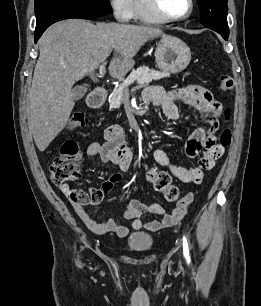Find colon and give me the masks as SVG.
Listing matches in <instances>:
<instances>
[{
    "label": "colon",
    "mask_w": 261,
    "mask_h": 306,
    "mask_svg": "<svg viewBox=\"0 0 261 306\" xmlns=\"http://www.w3.org/2000/svg\"><path fill=\"white\" fill-rule=\"evenodd\" d=\"M220 88L224 91L232 90L234 87V79L230 75H223L219 78ZM230 111H225V118L229 119ZM85 125V116L81 112L74 113L70 127L81 128ZM232 134L230 129H225L220 135L219 144L226 148L230 145ZM81 151L76 141L67 139L60 148L59 155L53 160L50 166V178L54 184L61 189L69 191L71 201L80 205H96L103 198L101 188H93L89 191L71 190L67 182L79 179L81 176ZM147 180L153 185L156 191L162 192L167 200L174 201L178 198V189L171 185V177L167 172L159 171L155 167H151L146 172Z\"/></svg>",
    "instance_id": "obj_1"
}]
</instances>
